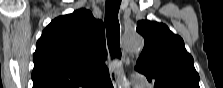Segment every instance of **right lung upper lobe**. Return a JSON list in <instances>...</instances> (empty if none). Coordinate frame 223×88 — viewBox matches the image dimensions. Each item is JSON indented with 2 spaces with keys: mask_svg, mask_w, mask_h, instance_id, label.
I'll list each match as a JSON object with an SVG mask.
<instances>
[{
  "mask_svg": "<svg viewBox=\"0 0 223 88\" xmlns=\"http://www.w3.org/2000/svg\"><path fill=\"white\" fill-rule=\"evenodd\" d=\"M104 24L86 9L55 18L33 55V88H98L109 78Z\"/></svg>",
  "mask_w": 223,
  "mask_h": 88,
  "instance_id": "1",
  "label": "right lung upper lobe"
}]
</instances>
